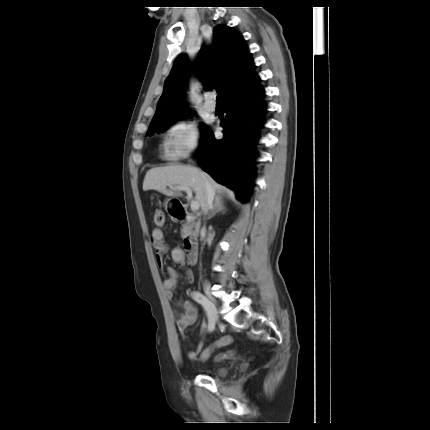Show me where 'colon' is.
<instances>
[{
  "label": "colon",
  "instance_id": "colon-1",
  "mask_svg": "<svg viewBox=\"0 0 430 430\" xmlns=\"http://www.w3.org/2000/svg\"><path fill=\"white\" fill-rule=\"evenodd\" d=\"M164 220H165L164 213L161 210H157L154 213V222H155V224L158 225V226H162L163 223H164ZM231 342H232V337L231 336H229V335L223 336L222 338H220L219 340H217L216 342H214L212 345H210L207 348H205V350L202 352V354L200 356L201 360L202 361H206L210 357L212 351L215 348L228 345ZM231 354H232V352L220 353V354H218V355L215 356V361H217V362L218 361H222V360L230 357Z\"/></svg>",
  "mask_w": 430,
  "mask_h": 430
}]
</instances>
